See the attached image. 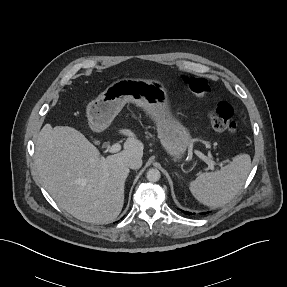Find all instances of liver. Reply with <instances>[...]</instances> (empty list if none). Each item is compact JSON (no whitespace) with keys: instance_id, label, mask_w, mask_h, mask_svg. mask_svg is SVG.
Masks as SVG:
<instances>
[{"instance_id":"1","label":"liver","mask_w":287,"mask_h":287,"mask_svg":"<svg viewBox=\"0 0 287 287\" xmlns=\"http://www.w3.org/2000/svg\"><path fill=\"white\" fill-rule=\"evenodd\" d=\"M124 149L106 158L81 133L46 124L35 146V163L43 186L55 202L75 218L107 224L124 204L127 161L143 156V143L130 129Z\"/></svg>"}]
</instances>
